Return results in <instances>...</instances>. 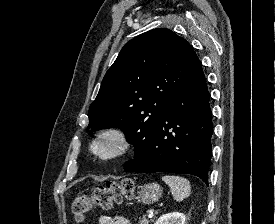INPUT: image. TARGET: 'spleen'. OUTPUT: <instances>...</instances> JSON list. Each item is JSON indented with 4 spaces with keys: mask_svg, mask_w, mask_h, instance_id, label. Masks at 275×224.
Wrapping results in <instances>:
<instances>
[{
    "mask_svg": "<svg viewBox=\"0 0 275 224\" xmlns=\"http://www.w3.org/2000/svg\"><path fill=\"white\" fill-rule=\"evenodd\" d=\"M162 180L168 184L176 201H182L190 195L191 186L186 178L175 175H165L162 177Z\"/></svg>",
    "mask_w": 275,
    "mask_h": 224,
    "instance_id": "3e777b00",
    "label": "spleen"
}]
</instances>
